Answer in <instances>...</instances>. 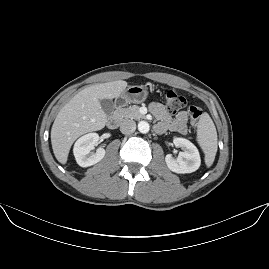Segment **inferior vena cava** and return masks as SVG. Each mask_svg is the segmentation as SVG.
<instances>
[{
	"label": "inferior vena cava",
	"instance_id": "inferior-vena-cava-1",
	"mask_svg": "<svg viewBox=\"0 0 269 269\" xmlns=\"http://www.w3.org/2000/svg\"><path fill=\"white\" fill-rule=\"evenodd\" d=\"M136 130V123L133 120H125L120 126V131L123 134H131Z\"/></svg>",
	"mask_w": 269,
	"mask_h": 269
}]
</instances>
